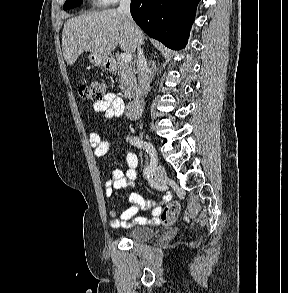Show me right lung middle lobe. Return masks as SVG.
<instances>
[{"label":"right lung middle lobe","mask_w":288,"mask_h":293,"mask_svg":"<svg viewBox=\"0 0 288 293\" xmlns=\"http://www.w3.org/2000/svg\"><path fill=\"white\" fill-rule=\"evenodd\" d=\"M83 1L82 0H66V2L64 3L63 9L67 10V9H71L74 7L79 6Z\"/></svg>","instance_id":"1"}]
</instances>
